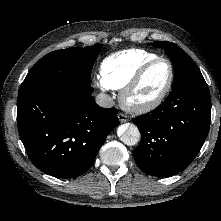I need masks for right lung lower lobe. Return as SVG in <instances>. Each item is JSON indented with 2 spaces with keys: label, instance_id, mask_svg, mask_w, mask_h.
Returning <instances> with one entry per match:
<instances>
[{
  "label": "right lung lower lobe",
  "instance_id": "right-lung-lower-lobe-1",
  "mask_svg": "<svg viewBox=\"0 0 221 221\" xmlns=\"http://www.w3.org/2000/svg\"><path fill=\"white\" fill-rule=\"evenodd\" d=\"M90 85L51 86L18 94L20 138L41 171L74 178L93 164L108 134L119 125L116 108H102Z\"/></svg>",
  "mask_w": 221,
  "mask_h": 221
}]
</instances>
